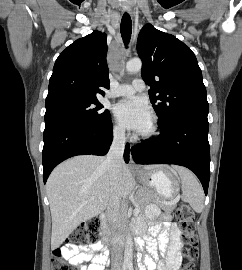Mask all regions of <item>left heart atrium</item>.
<instances>
[{
  "mask_svg": "<svg viewBox=\"0 0 242 270\" xmlns=\"http://www.w3.org/2000/svg\"><path fill=\"white\" fill-rule=\"evenodd\" d=\"M114 113L123 126L137 132H142L151 121L150 107L137 97L120 101L114 107Z\"/></svg>",
  "mask_w": 242,
  "mask_h": 270,
  "instance_id": "39dd6f15",
  "label": "left heart atrium"
}]
</instances>
